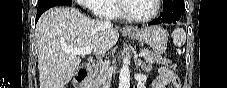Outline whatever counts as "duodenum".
Segmentation results:
<instances>
[{
	"mask_svg": "<svg viewBox=\"0 0 227 88\" xmlns=\"http://www.w3.org/2000/svg\"><path fill=\"white\" fill-rule=\"evenodd\" d=\"M90 71H91V68L88 63H83L79 67L74 79L75 83L79 86V88H86Z\"/></svg>",
	"mask_w": 227,
	"mask_h": 88,
	"instance_id": "1",
	"label": "duodenum"
}]
</instances>
